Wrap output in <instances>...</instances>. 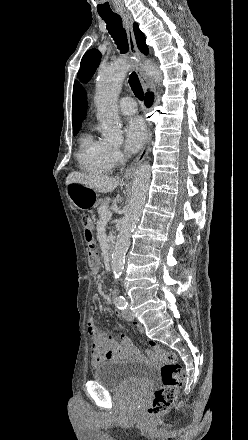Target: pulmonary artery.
<instances>
[{
	"mask_svg": "<svg viewBox=\"0 0 248 440\" xmlns=\"http://www.w3.org/2000/svg\"><path fill=\"white\" fill-rule=\"evenodd\" d=\"M119 110L124 115H132L136 112L137 107L133 98L123 97L119 101Z\"/></svg>",
	"mask_w": 248,
	"mask_h": 440,
	"instance_id": "1",
	"label": "pulmonary artery"
}]
</instances>
